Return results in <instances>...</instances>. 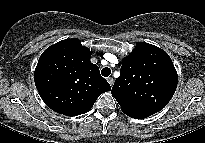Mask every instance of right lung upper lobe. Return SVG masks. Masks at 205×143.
Segmentation results:
<instances>
[{"instance_id": "cb5924a9", "label": "right lung upper lobe", "mask_w": 205, "mask_h": 143, "mask_svg": "<svg viewBox=\"0 0 205 143\" xmlns=\"http://www.w3.org/2000/svg\"><path fill=\"white\" fill-rule=\"evenodd\" d=\"M90 57V50L76 38L62 40L42 53L34 80L50 109L66 116L81 115L100 94L111 90Z\"/></svg>"}]
</instances>
